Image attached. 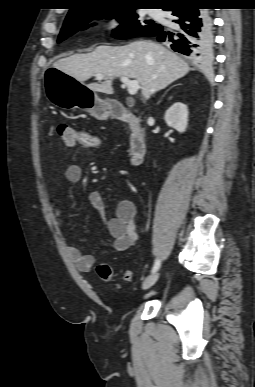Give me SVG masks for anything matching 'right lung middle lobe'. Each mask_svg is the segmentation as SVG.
<instances>
[{"instance_id": "dd1d6c3e", "label": "right lung middle lobe", "mask_w": 255, "mask_h": 387, "mask_svg": "<svg viewBox=\"0 0 255 387\" xmlns=\"http://www.w3.org/2000/svg\"><path fill=\"white\" fill-rule=\"evenodd\" d=\"M134 11L135 8L132 7H118L108 10H95L85 13L76 19L65 20L58 37V42L65 40L78 30L86 29L89 26L88 23L92 20L103 18H116L121 23V25L113 31V36L117 39L132 38L141 35L144 29L148 27L159 26L158 24L149 23L148 21L141 22L138 20V15Z\"/></svg>"}]
</instances>
